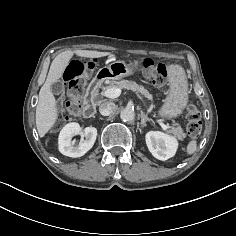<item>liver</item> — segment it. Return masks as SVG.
<instances>
[{"instance_id": "liver-1", "label": "liver", "mask_w": 236, "mask_h": 236, "mask_svg": "<svg viewBox=\"0 0 236 236\" xmlns=\"http://www.w3.org/2000/svg\"><path fill=\"white\" fill-rule=\"evenodd\" d=\"M74 54L85 58H100L108 56L111 53L92 50H66L55 57L51 63L46 81L40 89L39 101L36 107L35 120L40 137H44L52 128L58 116L57 103L50 86L61 78Z\"/></svg>"}]
</instances>
